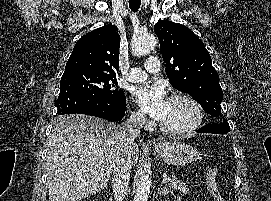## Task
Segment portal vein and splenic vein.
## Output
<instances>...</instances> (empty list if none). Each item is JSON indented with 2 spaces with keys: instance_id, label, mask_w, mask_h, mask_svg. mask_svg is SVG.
Wrapping results in <instances>:
<instances>
[{
  "instance_id": "obj_1",
  "label": "portal vein and splenic vein",
  "mask_w": 271,
  "mask_h": 201,
  "mask_svg": "<svg viewBox=\"0 0 271 201\" xmlns=\"http://www.w3.org/2000/svg\"><path fill=\"white\" fill-rule=\"evenodd\" d=\"M169 181H170V179H169V178H166V177L163 178V180H162L163 183H168Z\"/></svg>"
}]
</instances>
